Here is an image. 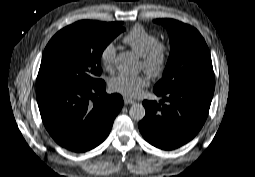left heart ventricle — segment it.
Listing matches in <instances>:
<instances>
[{
  "label": "left heart ventricle",
  "instance_id": "b2bd125f",
  "mask_svg": "<svg viewBox=\"0 0 255 177\" xmlns=\"http://www.w3.org/2000/svg\"><path fill=\"white\" fill-rule=\"evenodd\" d=\"M144 68V66H143V62H141V69H143Z\"/></svg>",
  "mask_w": 255,
  "mask_h": 177
}]
</instances>
